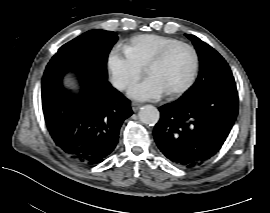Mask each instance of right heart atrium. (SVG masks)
<instances>
[{"label": "right heart atrium", "instance_id": "1", "mask_svg": "<svg viewBox=\"0 0 270 213\" xmlns=\"http://www.w3.org/2000/svg\"><path fill=\"white\" fill-rule=\"evenodd\" d=\"M108 66L115 85L122 90L131 87L144 73V67L133 62L126 52L120 55L113 51L109 56Z\"/></svg>", "mask_w": 270, "mask_h": 213}]
</instances>
